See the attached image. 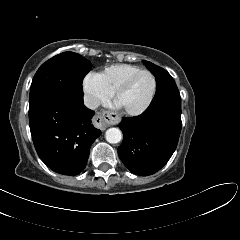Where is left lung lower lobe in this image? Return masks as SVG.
<instances>
[{
  "instance_id": "left-lung-lower-lobe-1",
  "label": "left lung lower lobe",
  "mask_w": 240,
  "mask_h": 240,
  "mask_svg": "<svg viewBox=\"0 0 240 240\" xmlns=\"http://www.w3.org/2000/svg\"><path fill=\"white\" fill-rule=\"evenodd\" d=\"M181 101L152 103L139 116L119 124L124 139L118 148L123 164L147 176L161 169L174 153L181 132Z\"/></svg>"
}]
</instances>
